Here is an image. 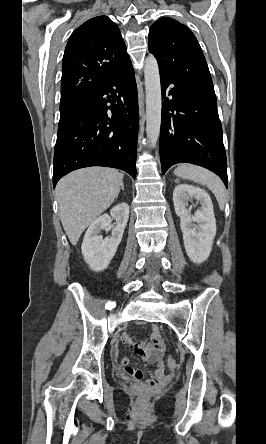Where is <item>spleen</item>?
Listing matches in <instances>:
<instances>
[{
    "mask_svg": "<svg viewBox=\"0 0 266 444\" xmlns=\"http://www.w3.org/2000/svg\"><path fill=\"white\" fill-rule=\"evenodd\" d=\"M174 174L178 177L188 179L207 186L215 195L220 209L225 206V189L222 181L214 173L205 168L191 165L181 164L175 170Z\"/></svg>",
    "mask_w": 266,
    "mask_h": 444,
    "instance_id": "spleen-1",
    "label": "spleen"
}]
</instances>
